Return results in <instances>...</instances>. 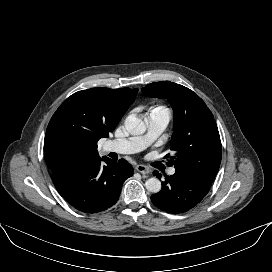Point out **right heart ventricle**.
I'll use <instances>...</instances> for the list:
<instances>
[{
  "mask_svg": "<svg viewBox=\"0 0 272 272\" xmlns=\"http://www.w3.org/2000/svg\"><path fill=\"white\" fill-rule=\"evenodd\" d=\"M153 110H165L166 111V109L162 106H157L155 108H152L150 111H153Z\"/></svg>",
  "mask_w": 272,
  "mask_h": 272,
  "instance_id": "right-heart-ventricle-1",
  "label": "right heart ventricle"
}]
</instances>
